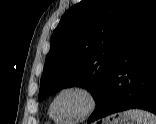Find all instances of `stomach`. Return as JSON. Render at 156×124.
Returning <instances> with one entry per match:
<instances>
[{"label":"stomach","instance_id":"1","mask_svg":"<svg viewBox=\"0 0 156 124\" xmlns=\"http://www.w3.org/2000/svg\"><path fill=\"white\" fill-rule=\"evenodd\" d=\"M103 124H134V121L131 119H126L122 114H119L118 117L105 121Z\"/></svg>","mask_w":156,"mask_h":124}]
</instances>
